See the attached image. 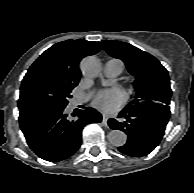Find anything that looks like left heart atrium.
<instances>
[{
  "label": "left heart atrium",
  "instance_id": "1",
  "mask_svg": "<svg viewBox=\"0 0 194 193\" xmlns=\"http://www.w3.org/2000/svg\"><path fill=\"white\" fill-rule=\"evenodd\" d=\"M124 102V96L118 89H106L100 91L94 98L93 105L104 113L117 111Z\"/></svg>",
  "mask_w": 194,
  "mask_h": 193
}]
</instances>
